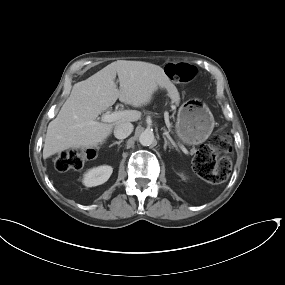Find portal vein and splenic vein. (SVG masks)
<instances>
[{
    "instance_id": "1",
    "label": "portal vein and splenic vein",
    "mask_w": 285,
    "mask_h": 285,
    "mask_svg": "<svg viewBox=\"0 0 285 285\" xmlns=\"http://www.w3.org/2000/svg\"><path fill=\"white\" fill-rule=\"evenodd\" d=\"M124 113H125V111H116V112H113L111 114L105 113L102 115L101 119L103 122L111 123V122L118 120L121 116L124 115ZM165 122H166L167 126L169 127L170 123H169L168 116L165 117ZM180 148L185 154H189V151L183 145H180Z\"/></svg>"
}]
</instances>
